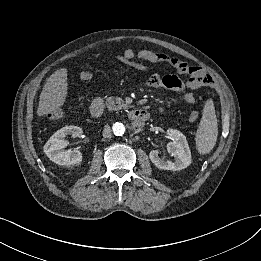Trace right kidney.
Returning a JSON list of instances; mask_svg holds the SVG:
<instances>
[{
    "mask_svg": "<svg viewBox=\"0 0 261 261\" xmlns=\"http://www.w3.org/2000/svg\"><path fill=\"white\" fill-rule=\"evenodd\" d=\"M83 131L78 126H66L55 132L44 145V153L58 165H78L82 162V154L78 149L64 150L68 145L65 137H80Z\"/></svg>",
    "mask_w": 261,
    "mask_h": 261,
    "instance_id": "obj_1",
    "label": "right kidney"
}]
</instances>
